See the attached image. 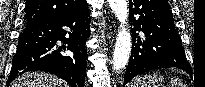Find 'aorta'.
Here are the masks:
<instances>
[{
  "mask_svg": "<svg viewBox=\"0 0 205 87\" xmlns=\"http://www.w3.org/2000/svg\"><path fill=\"white\" fill-rule=\"evenodd\" d=\"M115 16L120 22L113 54V69L120 72L127 65L131 54V35L126 28L128 8L126 0H108Z\"/></svg>",
  "mask_w": 205,
  "mask_h": 87,
  "instance_id": "762f6f07",
  "label": "aorta"
}]
</instances>
